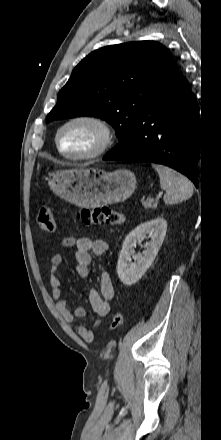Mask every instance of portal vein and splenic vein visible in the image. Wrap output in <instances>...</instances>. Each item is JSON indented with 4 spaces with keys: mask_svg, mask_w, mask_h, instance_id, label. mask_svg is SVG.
Returning <instances> with one entry per match:
<instances>
[{
    "mask_svg": "<svg viewBox=\"0 0 221 440\" xmlns=\"http://www.w3.org/2000/svg\"><path fill=\"white\" fill-rule=\"evenodd\" d=\"M161 196H162V193H159V194L156 196L155 201L158 202V200H159V198H160Z\"/></svg>",
    "mask_w": 221,
    "mask_h": 440,
    "instance_id": "portal-vein-and-splenic-vein-1",
    "label": "portal vein and splenic vein"
}]
</instances>
